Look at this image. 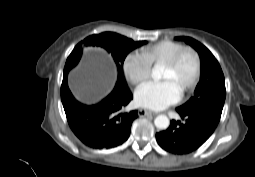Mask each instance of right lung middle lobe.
Here are the masks:
<instances>
[{"mask_svg":"<svg viewBox=\"0 0 255 177\" xmlns=\"http://www.w3.org/2000/svg\"><path fill=\"white\" fill-rule=\"evenodd\" d=\"M146 43V41L135 42L132 39L113 32H104L98 35L89 36L83 42H80L77 45L76 50L74 52L72 51V53L69 55L64 71L68 72L79 62L82 55L83 44L86 46H100L112 55L117 65L118 80L116 84L120 85L121 87L128 88L123 76L124 60L130 51Z\"/></svg>","mask_w":255,"mask_h":177,"instance_id":"obj_1","label":"right lung middle lobe"}]
</instances>
